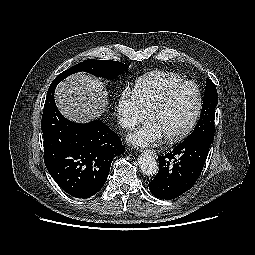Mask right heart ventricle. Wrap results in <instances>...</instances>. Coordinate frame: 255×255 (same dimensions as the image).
<instances>
[{"instance_id":"obj_1","label":"right heart ventricle","mask_w":255,"mask_h":255,"mask_svg":"<svg viewBox=\"0 0 255 255\" xmlns=\"http://www.w3.org/2000/svg\"><path fill=\"white\" fill-rule=\"evenodd\" d=\"M185 81L172 72L156 71L136 80L133 93L146 113L172 87Z\"/></svg>"}]
</instances>
